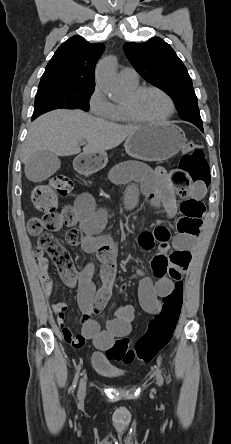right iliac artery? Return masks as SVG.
I'll use <instances>...</instances> for the list:
<instances>
[{
  "label": "right iliac artery",
  "instance_id": "82829eb1",
  "mask_svg": "<svg viewBox=\"0 0 231 444\" xmlns=\"http://www.w3.org/2000/svg\"><path fill=\"white\" fill-rule=\"evenodd\" d=\"M79 372H80V368L77 369V372L75 374V378L72 384V388L74 389L76 387L77 381H78V377H79Z\"/></svg>",
  "mask_w": 231,
  "mask_h": 444
}]
</instances>
